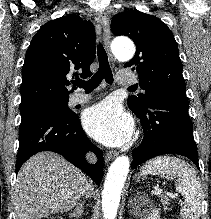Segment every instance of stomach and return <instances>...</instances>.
Wrapping results in <instances>:
<instances>
[{
	"instance_id": "obj_1",
	"label": "stomach",
	"mask_w": 211,
	"mask_h": 219,
	"mask_svg": "<svg viewBox=\"0 0 211 219\" xmlns=\"http://www.w3.org/2000/svg\"><path fill=\"white\" fill-rule=\"evenodd\" d=\"M137 181H140V179H141V175H137Z\"/></svg>"
}]
</instances>
